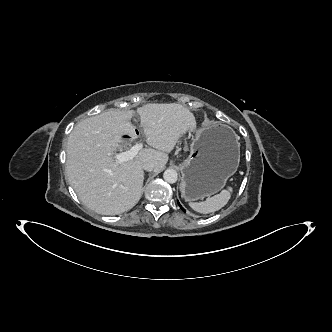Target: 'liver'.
<instances>
[{
    "label": "liver",
    "mask_w": 332,
    "mask_h": 332,
    "mask_svg": "<svg viewBox=\"0 0 332 332\" xmlns=\"http://www.w3.org/2000/svg\"><path fill=\"white\" fill-rule=\"evenodd\" d=\"M143 135L151 148L141 149L131 160L118 163L114 154L123 135L135 136L132 110L114 109L87 118L70 133L66 172L80 200L103 215L132 208L140 199L145 178L143 164L151 161L161 171L178 140L196 128L192 112L181 104H147L137 109Z\"/></svg>",
    "instance_id": "6515ba94"
}]
</instances>
